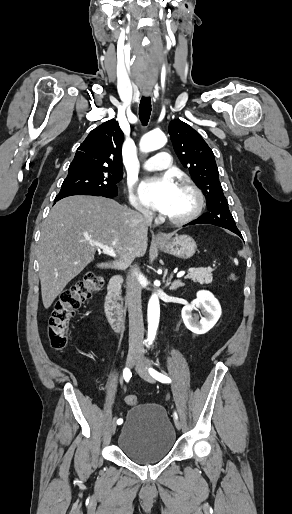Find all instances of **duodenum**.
Wrapping results in <instances>:
<instances>
[{"label": "duodenum", "instance_id": "1", "mask_svg": "<svg viewBox=\"0 0 292 514\" xmlns=\"http://www.w3.org/2000/svg\"><path fill=\"white\" fill-rule=\"evenodd\" d=\"M122 284L123 277L119 274L111 277L108 284L106 310L108 313L109 321L115 329H122L124 324V316L120 303Z\"/></svg>", "mask_w": 292, "mask_h": 514}]
</instances>
